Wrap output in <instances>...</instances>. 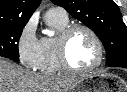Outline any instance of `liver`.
<instances>
[{"instance_id": "6515ba94", "label": "liver", "mask_w": 127, "mask_h": 92, "mask_svg": "<svg viewBox=\"0 0 127 92\" xmlns=\"http://www.w3.org/2000/svg\"><path fill=\"white\" fill-rule=\"evenodd\" d=\"M81 78L41 75L0 58V92H70Z\"/></svg>"}]
</instances>
